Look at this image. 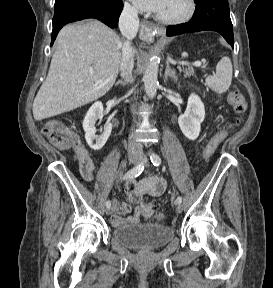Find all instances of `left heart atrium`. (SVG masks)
<instances>
[{
  "label": "left heart atrium",
  "instance_id": "obj_1",
  "mask_svg": "<svg viewBox=\"0 0 273 288\" xmlns=\"http://www.w3.org/2000/svg\"><path fill=\"white\" fill-rule=\"evenodd\" d=\"M132 2L142 11L158 13L166 0H132Z\"/></svg>",
  "mask_w": 273,
  "mask_h": 288
}]
</instances>
